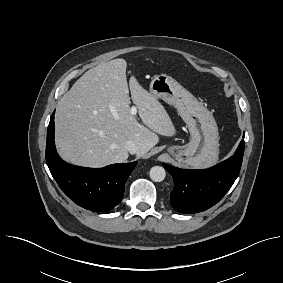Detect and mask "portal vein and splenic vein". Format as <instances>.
Instances as JSON below:
<instances>
[{"label":"portal vein and splenic vein","instance_id":"obj_1","mask_svg":"<svg viewBox=\"0 0 283 283\" xmlns=\"http://www.w3.org/2000/svg\"><path fill=\"white\" fill-rule=\"evenodd\" d=\"M130 113H131L132 115H136V113H137V107H136V106H132L131 109H130Z\"/></svg>","mask_w":283,"mask_h":283}]
</instances>
